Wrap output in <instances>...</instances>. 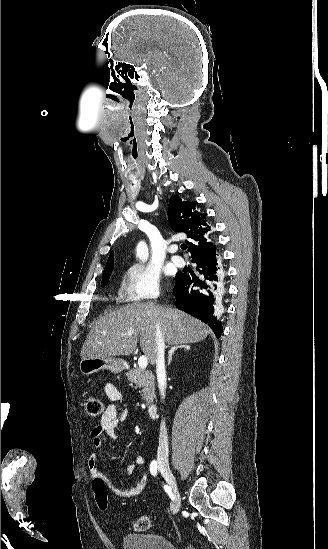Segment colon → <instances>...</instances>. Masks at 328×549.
<instances>
[{
    "mask_svg": "<svg viewBox=\"0 0 328 549\" xmlns=\"http://www.w3.org/2000/svg\"><path fill=\"white\" fill-rule=\"evenodd\" d=\"M86 412L90 416H98L103 411V403L94 396H89L85 400ZM93 491L98 508L105 511L108 508V487L104 479L97 478L93 481ZM150 527L148 516H140L134 523L136 531H146Z\"/></svg>",
    "mask_w": 328,
    "mask_h": 549,
    "instance_id": "colon-1",
    "label": "colon"
}]
</instances>
